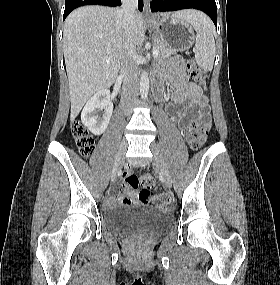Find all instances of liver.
<instances>
[{"instance_id": "liver-1", "label": "liver", "mask_w": 280, "mask_h": 285, "mask_svg": "<svg viewBox=\"0 0 280 285\" xmlns=\"http://www.w3.org/2000/svg\"><path fill=\"white\" fill-rule=\"evenodd\" d=\"M133 39L135 46H140L145 40L143 16L138 12L135 14ZM125 42L120 9L84 6L75 9L66 18L63 51L69 82L71 121L93 94L114 83Z\"/></svg>"}]
</instances>
